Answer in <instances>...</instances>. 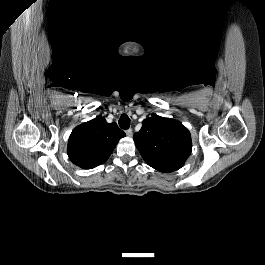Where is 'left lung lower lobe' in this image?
I'll return each mask as SVG.
<instances>
[{
    "mask_svg": "<svg viewBox=\"0 0 265 265\" xmlns=\"http://www.w3.org/2000/svg\"><path fill=\"white\" fill-rule=\"evenodd\" d=\"M182 166L180 165H176V166H171V167H167L165 168L163 171L161 172H166V173H169V172H173V171H176L178 170L179 168H181Z\"/></svg>",
    "mask_w": 265,
    "mask_h": 265,
    "instance_id": "0a47b994",
    "label": "left lung lower lobe"
}]
</instances>
